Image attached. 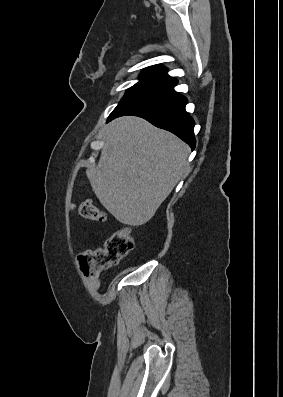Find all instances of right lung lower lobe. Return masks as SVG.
<instances>
[{"instance_id":"right-lung-lower-lobe-1","label":"right lung lower lobe","mask_w":283,"mask_h":397,"mask_svg":"<svg viewBox=\"0 0 283 397\" xmlns=\"http://www.w3.org/2000/svg\"><path fill=\"white\" fill-rule=\"evenodd\" d=\"M174 85L124 108L107 122L124 115L139 116L153 125L168 130L195 148L194 120L186 112L187 98L174 90Z\"/></svg>"}]
</instances>
